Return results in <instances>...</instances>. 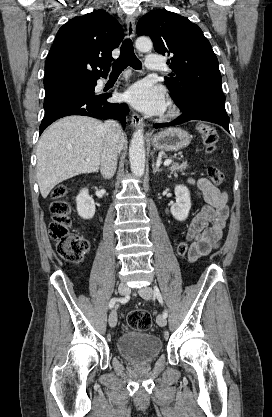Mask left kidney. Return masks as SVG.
Wrapping results in <instances>:
<instances>
[{
	"mask_svg": "<svg viewBox=\"0 0 272 417\" xmlns=\"http://www.w3.org/2000/svg\"><path fill=\"white\" fill-rule=\"evenodd\" d=\"M176 202L171 206L170 211L178 221H184L191 209L190 192L184 185L175 186Z\"/></svg>",
	"mask_w": 272,
	"mask_h": 417,
	"instance_id": "1",
	"label": "left kidney"
}]
</instances>
